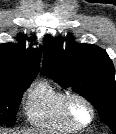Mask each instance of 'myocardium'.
<instances>
[{"label": "myocardium", "instance_id": "1", "mask_svg": "<svg viewBox=\"0 0 116 134\" xmlns=\"http://www.w3.org/2000/svg\"><path fill=\"white\" fill-rule=\"evenodd\" d=\"M82 104L89 113V119L86 122L81 121L74 113V105ZM62 109L66 117L77 127L84 128L91 125L95 119V109L92 103L83 95L76 92H68L63 95Z\"/></svg>", "mask_w": 116, "mask_h": 134}]
</instances>
